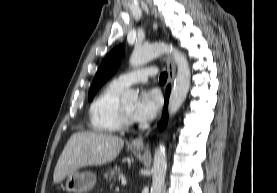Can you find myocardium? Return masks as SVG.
<instances>
[{
    "mask_svg": "<svg viewBox=\"0 0 277 193\" xmlns=\"http://www.w3.org/2000/svg\"><path fill=\"white\" fill-rule=\"evenodd\" d=\"M120 117L122 121V127L123 128H130L134 125V121L132 119V116H130L126 110L124 109L123 105L120 104Z\"/></svg>",
    "mask_w": 277,
    "mask_h": 193,
    "instance_id": "1",
    "label": "myocardium"
}]
</instances>
